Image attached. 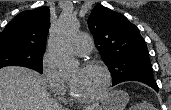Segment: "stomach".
<instances>
[{"label":"stomach","instance_id":"1","mask_svg":"<svg viewBox=\"0 0 171 110\" xmlns=\"http://www.w3.org/2000/svg\"><path fill=\"white\" fill-rule=\"evenodd\" d=\"M129 101V96L121 90H111L101 105L90 110H124Z\"/></svg>","mask_w":171,"mask_h":110}]
</instances>
